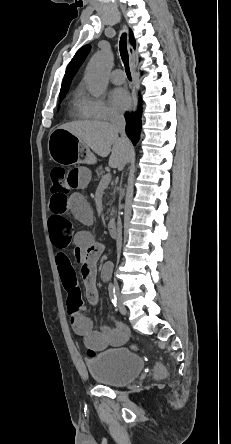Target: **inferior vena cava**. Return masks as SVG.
<instances>
[{
  "mask_svg": "<svg viewBox=\"0 0 231 444\" xmlns=\"http://www.w3.org/2000/svg\"><path fill=\"white\" fill-rule=\"evenodd\" d=\"M111 121V125L114 128L115 131H117L118 133L121 134V138L125 141H128L126 134H125V119L124 116L122 114L119 113H113L111 115L110 118ZM123 169V168H122ZM121 169V170H122ZM122 213L118 212L116 215V221H117V232L116 235L118 236L117 238V251H118V255H119V251H120V247H121V235L123 234L122 232L124 231V228L122 227Z\"/></svg>",
  "mask_w": 231,
  "mask_h": 444,
  "instance_id": "602c4592",
  "label": "inferior vena cava"
}]
</instances>
